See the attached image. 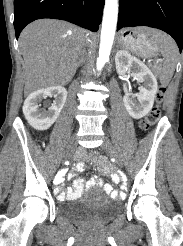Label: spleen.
<instances>
[{
  "mask_svg": "<svg viewBox=\"0 0 183 246\" xmlns=\"http://www.w3.org/2000/svg\"><path fill=\"white\" fill-rule=\"evenodd\" d=\"M150 35L156 43L160 45V51L165 61L160 73V82L162 85H168L175 71L178 48L174 40L166 33L159 30H151Z\"/></svg>",
  "mask_w": 183,
  "mask_h": 246,
  "instance_id": "3e777b00",
  "label": "spleen"
}]
</instances>
